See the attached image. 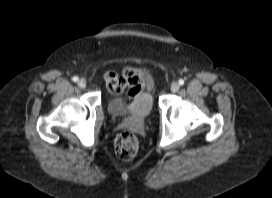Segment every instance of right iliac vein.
Returning <instances> with one entry per match:
<instances>
[{
    "label": "right iliac vein",
    "mask_w": 272,
    "mask_h": 198,
    "mask_svg": "<svg viewBox=\"0 0 272 198\" xmlns=\"http://www.w3.org/2000/svg\"><path fill=\"white\" fill-rule=\"evenodd\" d=\"M86 85H87V82H86L85 79H80V80L78 81V86H79L80 88H85Z\"/></svg>",
    "instance_id": "63e3f726"
}]
</instances>
